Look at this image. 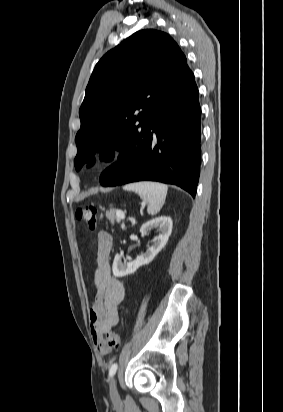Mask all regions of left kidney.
I'll use <instances>...</instances> for the list:
<instances>
[{
  "label": "left kidney",
  "instance_id": "5707ae66",
  "mask_svg": "<svg viewBox=\"0 0 283 412\" xmlns=\"http://www.w3.org/2000/svg\"><path fill=\"white\" fill-rule=\"evenodd\" d=\"M172 227V219L166 216L155 218L143 224L140 228L142 235H147L152 229H157L161 233L155 238L154 244L133 262H126L125 260L122 262V255L116 254L112 265L113 275L115 277H123L134 273L139 267L149 264L167 244Z\"/></svg>",
  "mask_w": 283,
  "mask_h": 412
}]
</instances>
